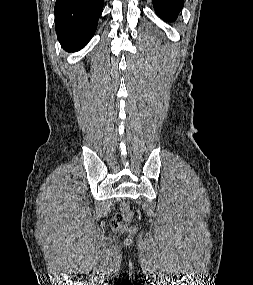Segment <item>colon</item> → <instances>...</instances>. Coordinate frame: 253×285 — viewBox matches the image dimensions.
Here are the masks:
<instances>
[{"label": "colon", "mask_w": 253, "mask_h": 285, "mask_svg": "<svg viewBox=\"0 0 253 285\" xmlns=\"http://www.w3.org/2000/svg\"><path fill=\"white\" fill-rule=\"evenodd\" d=\"M132 213L127 203H122L120 211L114 216L111 226L115 231L124 232L130 228Z\"/></svg>", "instance_id": "obj_1"}]
</instances>
